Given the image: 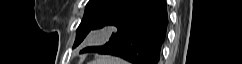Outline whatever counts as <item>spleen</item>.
<instances>
[{
  "instance_id": "spleen-1",
  "label": "spleen",
  "mask_w": 242,
  "mask_h": 64,
  "mask_svg": "<svg viewBox=\"0 0 242 64\" xmlns=\"http://www.w3.org/2000/svg\"><path fill=\"white\" fill-rule=\"evenodd\" d=\"M91 64H128V62L117 57L101 56L93 61Z\"/></svg>"
}]
</instances>
